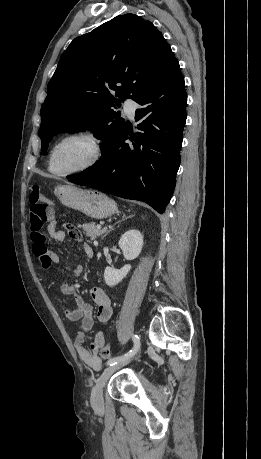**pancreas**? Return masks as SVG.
<instances>
[{
    "label": "pancreas",
    "mask_w": 261,
    "mask_h": 459,
    "mask_svg": "<svg viewBox=\"0 0 261 459\" xmlns=\"http://www.w3.org/2000/svg\"><path fill=\"white\" fill-rule=\"evenodd\" d=\"M79 227H81L84 230V234L87 237H90L91 240H95L98 236H101L105 233V230L98 229L95 223L83 224Z\"/></svg>",
    "instance_id": "pancreas-1"
}]
</instances>
